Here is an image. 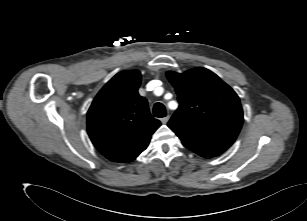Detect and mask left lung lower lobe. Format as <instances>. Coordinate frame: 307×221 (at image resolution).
Wrapping results in <instances>:
<instances>
[{
    "label": "left lung lower lobe",
    "mask_w": 307,
    "mask_h": 221,
    "mask_svg": "<svg viewBox=\"0 0 307 221\" xmlns=\"http://www.w3.org/2000/svg\"><path fill=\"white\" fill-rule=\"evenodd\" d=\"M190 150H192L193 152L197 153L198 155L205 157V158H210V157H215L220 155L221 153L219 152H215V151H210V150H205V149H201V148H188Z\"/></svg>",
    "instance_id": "1"
}]
</instances>
